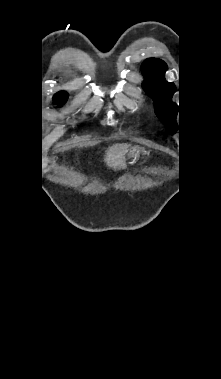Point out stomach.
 <instances>
[{"instance_id": "0dacf381", "label": "stomach", "mask_w": 221, "mask_h": 379, "mask_svg": "<svg viewBox=\"0 0 221 379\" xmlns=\"http://www.w3.org/2000/svg\"><path fill=\"white\" fill-rule=\"evenodd\" d=\"M138 153H139V151H138V148H137V147H131V148H129L128 151H127V154H128L129 156H131V157H135V156H137Z\"/></svg>"}]
</instances>
